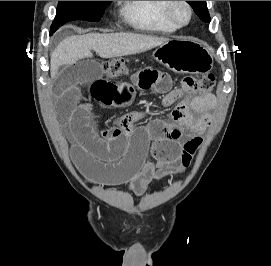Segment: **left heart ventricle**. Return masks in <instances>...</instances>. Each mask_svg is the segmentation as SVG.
<instances>
[{"label":"left heart ventricle","mask_w":271,"mask_h":266,"mask_svg":"<svg viewBox=\"0 0 271 266\" xmlns=\"http://www.w3.org/2000/svg\"><path fill=\"white\" fill-rule=\"evenodd\" d=\"M174 12L180 21L185 22L188 19V10L183 4L176 5Z\"/></svg>","instance_id":"1"}]
</instances>
